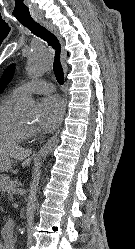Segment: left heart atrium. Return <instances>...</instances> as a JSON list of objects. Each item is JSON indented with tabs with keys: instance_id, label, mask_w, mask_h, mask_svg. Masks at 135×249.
<instances>
[{
	"instance_id": "obj_1",
	"label": "left heart atrium",
	"mask_w": 135,
	"mask_h": 249,
	"mask_svg": "<svg viewBox=\"0 0 135 249\" xmlns=\"http://www.w3.org/2000/svg\"><path fill=\"white\" fill-rule=\"evenodd\" d=\"M64 111L65 104L59 96L45 98L40 106V126L45 130L55 129L60 124Z\"/></svg>"
}]
</instances>
